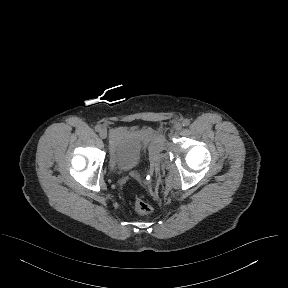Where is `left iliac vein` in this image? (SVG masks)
Wrapping results in <instances>:
<instances>
[{"instance_id": "left-iliac-vein-1", "label": "left iliac vein", "mask_w": 288, "mask_h": 288, "mask_svg": "<svg viewBox=\"0 0 288 288\" xmlns=\"http://www.w3.org/2000/svg\"><path fill=\"white\" fill-rule=\"evenodd\" d=\"M175 131H180L182 129V124L181 123H177L174 126Z\"/></svg>"}]
</instances>
